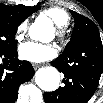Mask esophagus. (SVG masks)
Here are the masks:
<instances>
[{
	"mask_svg": "<svg viewBox=\"0 0 103 103\" xmlns=\"http://www.w3.org/2000/svg\"><path fill=\"white\" fill-rule=\"evenodd\" d=\"M32 66L36 70L41 66V64L33 63Z\"/></svg>",
	"mask_w": 103,
	"mask_h": 103,
	"instance_id": "1",
	"label": "esophagus"
}]
</instances>
